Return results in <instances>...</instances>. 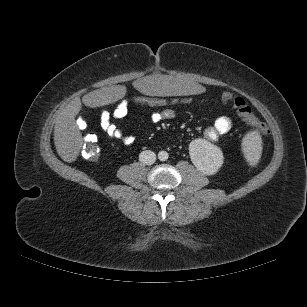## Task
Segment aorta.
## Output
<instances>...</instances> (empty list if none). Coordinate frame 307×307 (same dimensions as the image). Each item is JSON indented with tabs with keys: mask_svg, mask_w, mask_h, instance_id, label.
<instances>
[{
	"mask_svg": "<svg viewBox=\"0 0 307 307\" xmlns=\"http://www.w3.org/2000/svg\"><path fill=\"white\" fill-rule=\"evenodd\" d=\"M168 157H169V154H168L167 151H164V150L159 151V153H158V159H159L160 161H166V160L168 159Z\"/></svg>",
	"mask_w": 307,
	"mask_h": 307,
	"instance_id": "obj_1",
	"label": "aorta"
}]
</instances>
